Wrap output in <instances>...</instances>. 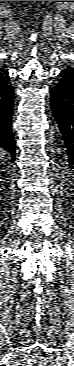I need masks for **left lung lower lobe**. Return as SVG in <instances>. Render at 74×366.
<instances>
[{
    "instance_id": "left-lung-lower-lobe-1",
    "label": "left lung lower lobe",
    "mask_w": 74,
    "mask_h": 366,
    "mask_svg": "<svg viewBox=\"0 0 74 366\" xmlns=\"http://www.w3.org/2000/svg\"><path fill=\"white\" fill-rule=\"evenodd\" d=\"M54 117L67 148L69 168H74V67L62 70L50 92Z\"/></svg>"
}]
</instances>
